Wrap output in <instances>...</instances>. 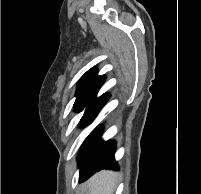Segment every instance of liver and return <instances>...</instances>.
<instances>
[{
  "mask_svg": "<svg viewBox=\"0 0 201 194\" xmlns=\"http://www.w3.org/2000/svg\"><path fill=\"white\" fill-rule=\"evenodd\" d=\"M119 176L113 171H100L87 181L89 194H113Z\"/></svg>",
  "mask_w": 201,
  "mask_h": 194,
  "instance_id": "obj_1",
  "label": "liver"
}]
</instances>
